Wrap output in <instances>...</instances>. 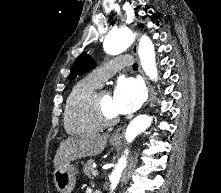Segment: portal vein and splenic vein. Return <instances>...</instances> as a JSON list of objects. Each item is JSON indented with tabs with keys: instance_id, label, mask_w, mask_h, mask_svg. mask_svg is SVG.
Segmentation results:
<instances>
[{
	"instance_id": "obj_1",
	"label": "portal vein and splenic vein",
	"mask_w": 221,
	"mask_h": 193,
	"mask_svg": "<svg viewBox=\"0 0 221 193\" xmlns=\"http://www.w3.org/2000/svg\"><path fill=\"white\" fill-rule=\"evenodd\" d=\"M92 173H93L94 176H96V175H98L99 172H98L97 169H94Z\"/></svg>"
}]
</instances>
